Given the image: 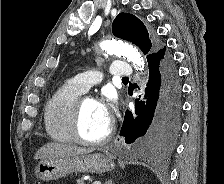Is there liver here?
Returning a JSON list of instances; mask_svg holds the SVG:
<instances>
[{
    "label": "liver",
    "instance_id": "liver-1",
    "mask_svg": "<svg viewBox=\"0 0 224 184\" xmlns=\"http://www.w3.org/2000/svg\"><path fill=\"white\" fill-rule=\"evenodd\" d=\"M90 152H92L91 149L81 148L73 145L62 143H47L37 151L34 159H56L80 154H88Z\"/></svg>",
    "mask_w": 224,
    "mask_h": 184
}]
</instances>
